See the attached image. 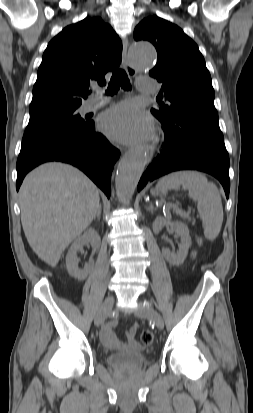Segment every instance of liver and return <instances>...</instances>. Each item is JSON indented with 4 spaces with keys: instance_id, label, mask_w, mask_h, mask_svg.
Listing matches in <instances>:
<instances>
[{
    "instance_id": "liver-1",
    "label": "liver",
    "mask_w": 253,
    "mask_h": 413,
    "mask_svg": "<svg viewBox=\"0 0 253 413\" xmlns=\"http://www.w3.org/2000/svg\"><path fill=\"white\" fill-rule=\"evenodd\" d=\"M99 190L81 171L59 162L31 171L19 190L22 227L38 257L55 267L65 248L91 224Z\"/></svg>"
}]
</instances>
